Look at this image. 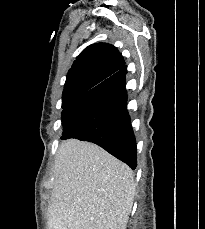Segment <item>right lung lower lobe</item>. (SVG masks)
<instances>
[{
    "mask_svg": "<svg viewBox=\"0 0 205 229\" xmlns=\"http://www.w3.org/2000/svg\"><path fill=\"white\" fill-rule=\"evenodd\" d=\"M126 73L123 66L63 110L61 139L93 142L135 169L136 140L126 109Z\"/></svg>",
    "mask_w": 205,
    "mask_h": 229,
    "instance_id": "98d812e1",
    "label": "right lung lower lobe"
}]
</instances>
